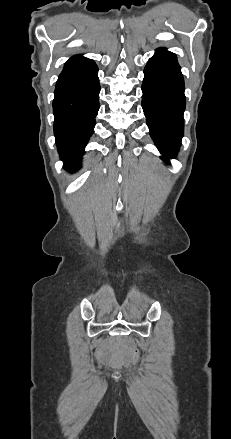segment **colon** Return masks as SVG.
<instances>
[{
  "instance_id": "1",
  "label": "colon",
  "mask_w": 231,
  "mask_h": 439,
  "mask_svg": "<svg viewBox=\"0 0 231 439\" xmlns=\"http://www.w3.org/2000/svg\"><path fill=\"white\" fill-rule=\"evenodd\" d=\"M138 357H139L138 350L136 348L132 349V358H133V360L137 361Z\"/></svg>"
}]
</instances>
